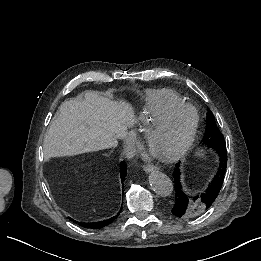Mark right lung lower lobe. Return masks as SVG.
<instances>
[{"label": "right lung lower lobe", "mask_w": 261, "mask_h": 261, "mask_svg": "<svg viewBox=\"0 0 261 261\" xmlns=\"http://www.w3.org/2000/svg\"><path fill=\"white\" fill-rule=\"evenodd\" d=\"M120 176H121V182L123 183L125 176H126V165L124 162H121V164H120ZM120 212L121 211H119V213L117 215L111 217L108 220L91 222V223H80V225L85 228H90V229H101V228L109 225L110 223H112L119 216ZM70 219H71V221H74L72 218H70Z\"/></svg>", "instance_id": "obj_1"}]
</instances>
